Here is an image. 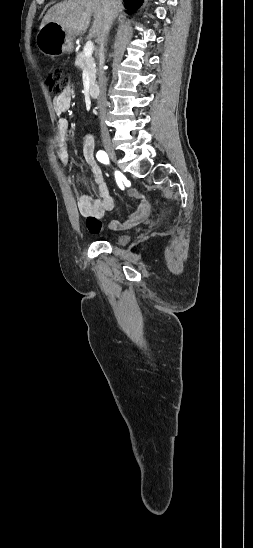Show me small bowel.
Segmentation results:
<instances>
[{"mask_svg":"<svg viewBox=\"0 0 253 548\" xmlns=\"http://www.w3.org/2000/svg\"><path fill=\"white\" fill-rule=\"evenodd\" d=\"M71 103V88H66L64 92L53 98V108L55 113L59 116L57 121V132L54 137V146L58 158L64 165L70 163V155L67 147L69 122L62 115L70 109ZM94 149V137L89 133L85 136L83 141V156L90 168L93 184L96 187L99 197L92 198L85 194L79 195L78 210L79 213L86 218L89 232L98 234L102 229L101 219L106 212H109L114 208V201L104 180L102 169L95 160ZM69 181H71V178H69ZM128 196L136 201V209L124 221L112 220L109 223V228L111 230L129 229L148 218L150 208L148 202L145 200L144 194L135 189H131L128 191Z\"/></svg>","mask_w":253,"mask_h":548,"instance_id":"obj_1","label":"small bowel"}]
</instances>
